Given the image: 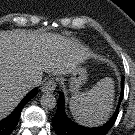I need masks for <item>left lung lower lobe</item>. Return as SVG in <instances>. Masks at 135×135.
Here are the masks:
<instances>
[{
    "instance_id": "obj_1",
    "label": "left lung lower lobe",
    "mask_w": 135,
    "mask_h": 135,
    "mask_svg": "<svg viewBox=\"0 0 135 135\" xmlns=\"http://www.w3.org/2000/svg\"><path fill=\"white\" fill-rule=\"evenodd\" d=\"M121 96L118 107L113 117L103 126L98 128H86L73 123L65 114L64 110V96L61 92L57 102V112L52 118V125L57 135H106L107 132L114 125L119 111V106L123 99L124 92V77L121 80Z\"/></svg>"
}]
</instances>
